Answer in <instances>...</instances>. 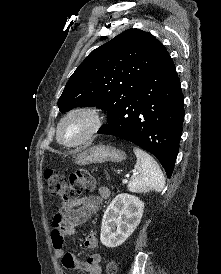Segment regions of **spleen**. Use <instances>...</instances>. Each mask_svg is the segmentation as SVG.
I'll return each mask as SVG.
<instances>
[{"label": "spleen", "instance_id": "3e777b00", "mask_svg": "<svg viewBox=\"0 0 221 274\" xmlns=\"http://www.w3.org/2000/svg\"><path fill=\"white\" fill-rule=\"evenodd\" d=\"M133 152L137 162L128 183V190L133 193H146L150 190L161 192L165 186V178L157 162L138 147H134Z\"/></svg>", "mask_w": 221, "mask_h": 274}]
</instances>
